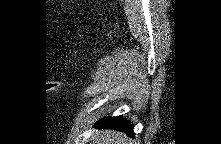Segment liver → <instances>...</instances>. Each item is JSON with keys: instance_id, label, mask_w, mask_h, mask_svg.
Wrapping results in <instances>:
<instances>
[{"instance_id": "1", "label": "liver", "mask_w": 221, "mask_h": 144, "mask_svg": "<svg viewBox=\"0 0 221 144\" xmlns=\"http://www.w3.org/2000/svg\"><path fill=\"white\" fill-rule=\"evenodd\" d=\"M91 141L93 144H131L124 133L113 130L96 131L91 136Z\"/></svg>"}]
</instances>
